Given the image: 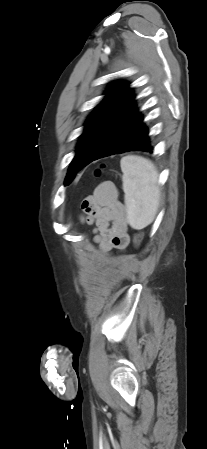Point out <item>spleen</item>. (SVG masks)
<instances>
[{
	"label": "spleen",
	"mask_w": 207,
	"mask_h": 449,
	"mask_svg": "<svg viewBox=\"0 0 207 449\" xmlns=\"http://www.w3.org/2000/svg\"><path fill=\"white\" fill-rule=\"evenodd\" d=\"M120 165L127 222L140 230L153 222L158 210V172L151 161L134 155L122 158Z\"/></svg>",
	"instance_id": "obj_1"
}]
</instances>
